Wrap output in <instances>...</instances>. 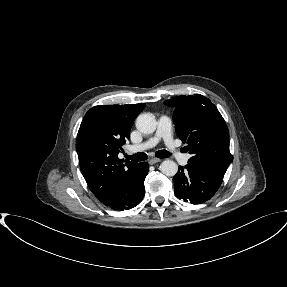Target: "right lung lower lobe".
<instances>
[{"mask_svg":"<svg viewBox=\"0 0 287 287\" xmlns=\"http://www.w3.org/2000/svg\"><path fill=\"white\" fill-rule=\"evenodd\" d=\"M148 170L149 166L146 162L138 163L103 204L118 211L128 210L138 205L144 197V180Z\"/></svg>","mask_w":287,"mask_h":287,"instance_id":"right-lung-lower-lobe-1","label":"right lung lower lobe"}]
</instances>
